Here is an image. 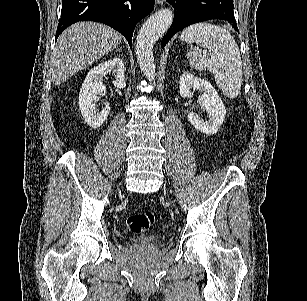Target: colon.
<instances>
[{
    "label": "colon",
    "instance_id": "colon-1",
    "mask_svg": "<svg viewBox=\"0 0 307 301\" xmlns=\"http://www.w3.org/2000/svg\"><path fill=\"white\" fill-rule=\"evenodd\" d=\"M154 214L150 211L130 215L126 220V226L133 233H143L154 224Z\"/></svg>",
    "mask_w": 307,
    "mask_h": 301
}]
</instances>
